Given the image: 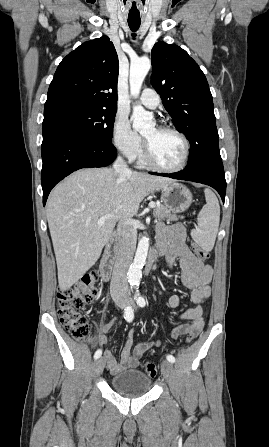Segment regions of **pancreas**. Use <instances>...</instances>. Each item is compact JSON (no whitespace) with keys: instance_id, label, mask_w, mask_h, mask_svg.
Instances as JSON below:
<instances>
[{"instance_id":"pancreas-1","label":"pancreas","mask_w":269,"mask_h":447,"mask_svg":"<svg viewBox=\"0 0 269 447\" xmlns=\"http://www.w3.org/2000/svg\"><path fill=\"white\" fill-rule=\"evenodd\" d=\"M154 218H158V220H171V222H177V220H183L184 216H176V214H171V210H168L166 206L160 204V206H156L153 212Z\"/></svg>"}]
</instances>
